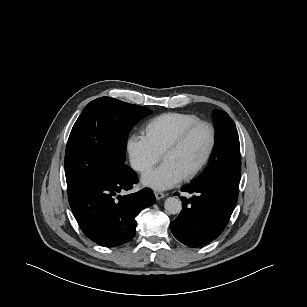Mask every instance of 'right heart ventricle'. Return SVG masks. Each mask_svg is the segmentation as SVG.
<instances>
[{"label": "right heart ventricle", "instance_id": "right-heart-ventricle-1", "mask_svg": "<svg viewBox=\"0 0 307 307\" xmlns=\"http://www.w3.org/2000/svg\"><path fill=\"white\" fill-rule=\"evenodd\" d=\"M200 121L194 114L165 113L153 118L145 128L146 137L154 149L163 154L167 146L188 125Z\"/></svg>", "mask_w": 307, "mask_h": 307}]
</instances>
